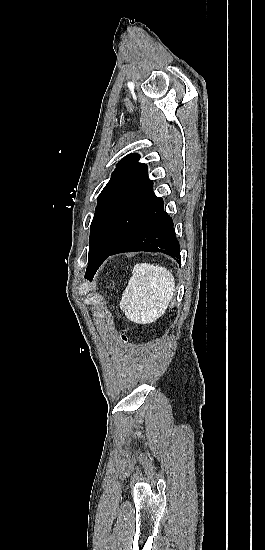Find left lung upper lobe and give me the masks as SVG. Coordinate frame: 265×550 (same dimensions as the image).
I'll list each match as a JSON object with an SVG mask.
<instances>
[{
    "label": "left lung upper lobe",
    "instance_id": "obj_1",
    "mask_svg": "<svg viewBox=\"0 0 265 550\" xmlns=\"http://www.w3.org/2000/svg\"><path fill=\"white\" fill-rule=\"evenodd\" d=\"M129 154L116 165L98 197L91 223L89 253H106L162 199L153 192L147 165Z\"/></svg>",
    "mask_w": 265,
    "mask_h": 550
}]
</instances>
